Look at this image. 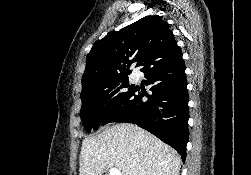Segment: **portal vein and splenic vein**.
Listing matches in <instances>:
<instances>
[{
    "instance_id": "obj_1",
    "label": "portal vein and splenic vein",
    "mask_w": 251,
    "mask_h": 175,
    "mask_svg": "<svg viewBox=\"0 0 251 175\" xmlns=\"http://www.w3.org/2000/svg\"><path fill=\"white\" fill-rule=\"evenodd\" d=\"M109 171H110V175H122L121 171H118L116 167H110Z\"/></svg>"
}]
</instances>
